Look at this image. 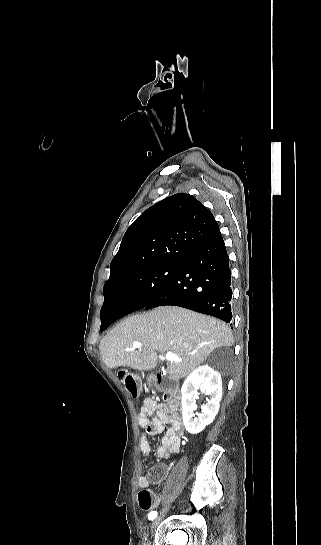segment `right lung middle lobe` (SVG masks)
<instances>
[{"label": "right lung middle lobe", "mask_w": 321, "mask_h": 545, "mask_svg": "<svg viewBox=\"0 0 321 545\" xmlns=\"http://www.w3.org/2000/svg\"><path fill=\"white\" fill-rule=\"evenodd\" d=\"M180 267L181 265L162 264L123 275L117 283L104 288L103 305L111 300H117L140 309L173 279ZM105 324L106 321L101 316L100 331Z\"/></svg>", "instance_id": "obj_1"}]
</instances>
